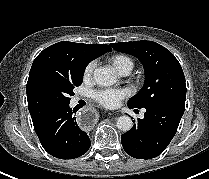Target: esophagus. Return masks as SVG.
<instances>
[{
	"label": "esophagus",
	"mask_w": 209,
	"mask_h": 179,
	"mask_svg": "<svg viewBox=\"0 0 209 179\" xmlns=\"http://www.w3.org/2000/svg\"><path fill=\"white\" fill-rule=\"evenodd\" d=\"M111 114V113H109ZM78 126L85 131L91 130L98 122L99 115L94 108L80 109L75 116Z\"/></svg>",
	"instance_id": "34e87169"
}]
</instances>
